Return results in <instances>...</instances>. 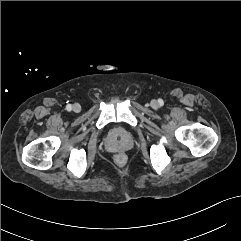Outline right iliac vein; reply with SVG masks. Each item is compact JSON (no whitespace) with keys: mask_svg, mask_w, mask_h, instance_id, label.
<instances>
[{"mask_svg":"<svg viewBox=\"0 0 241 241\" xmlns=\"http://www.w3.org/2000/svg\"><path fill=\"white\" fill-rule=\"evenodd\" d=\"M72 110H73V112H75V113H79V112L81 111V106H80V104L75 103V104L72 106Z\"/></svg>","mask_w":241,"mask_h":241,"instance_id":"63e3f726","label":"right iliac vein"}]
</instances>
